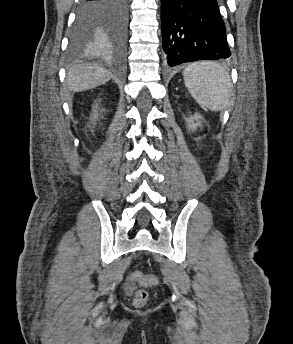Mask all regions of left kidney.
Instances as JSON below:
<instances>
[{
	"label": "left kidney",
	"instance_id": "left-kidney-1",
	"mask_svg": "<svg viewBox=\"0 0 293 344\" xmlns=\"http://www.w3.org/2000/svg\"><path fill=\"white\" fill-rule=\"evenodd\" d=\"M200 119H202V116L199 114H195L193 117L188 118L186 121L189 125V128L195 130L197 126H201ZM194 121H196V123Z\"/></svg>",
	"mask_w": 293,
	"mask_h": 344
}]
</instances>
